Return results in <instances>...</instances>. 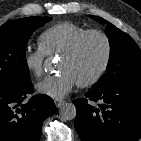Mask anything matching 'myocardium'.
<instances>
[{
    "mask_svg": "<svg viewBox=\"0 0 141 141\" xmlns=\"http://www.w3.org/2000/svg\"><path fill=\"white\" fill-rule=\"evenodd\" d=\"M91 36H98V37L102 38V40L105 43V56H104V59L100 65V67L91 77H89L86 80L77 82V84L80 87H89V86L96 84L103 77L105 72L107 71L108 66L110 64V61H111V57H112V43H111L110 37L104 31L97 30V29L87 30L82 35H80L71 44V46L65 52L62 53V56L67 57V58H71V57L75 56L78 53V51L80 50L83 43L86 41V39Z\"/></svg>",
    "mask_w": 141,
    "mask_h": 141,
    "instance_id": "myocardium-1",
    "label": "myocardium"
}]
</instances>
